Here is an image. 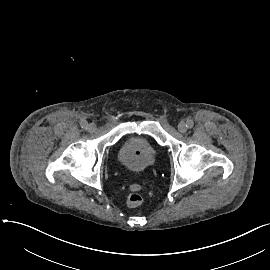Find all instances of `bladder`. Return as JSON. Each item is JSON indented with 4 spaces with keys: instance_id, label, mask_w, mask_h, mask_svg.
Instances as JSON below:
<instances>
[{
    "instance_id": "31cf9c89",
    "label": "bladder",
    "mask_w": 270,
    "mask_h": 270,
    "mask_svg": "<svg viewBox=\"0 0 270 270\" xmlns=\"http://www.w3.org/2000/svg\"><path fill=\"white\" fill-rule=\"evenodd\" d=\"M156 154L153 139L147 135L131 137L123 143L119 162L133 174L144 172Z\"/></svg>"
}]
</instances>
